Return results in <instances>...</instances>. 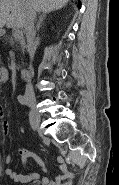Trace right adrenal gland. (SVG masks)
Returning a JSON list of instances; mask_svg holds the SVG:
<instances>
[{
    "instance_id": "1",
    "label": "right adrenal gland",
    "mask_w": 119,
    "mask_h": 185,
    "mask_svg": "<svg viewBox=\"0 0 119 185\" xmlns=\"http://www.w3.org/2000/svg\"><path fill=\"white\" fill-rule=\"evenodd\" d=\"M39 14H40L39 15V20H38L37 26H36L37 31L40 29V26H41L42 22L46 18L47 14H49V12H43V13H39Z\"/></svg>"
}]
</instances>
